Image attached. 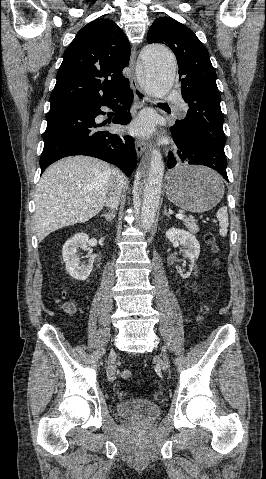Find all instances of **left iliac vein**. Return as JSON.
<instances>
[{
  "label": "left iliac vein",
  "instance_id": "left-iliac-vein-1",
  "mask_svg": "<svg viewBox=\"0 0 266 479\" xmlns=\"http://www.w3.org/2000/svg\"><path fill=\"white\" fill-rule=\"evenodd\" d=\"M162 363L164 365V368L167 369L168 367V359H167V356L165 354H163L162 356Z\"/></svg>",
  "mask_w": 266,
  "mask_h": 479
}]
</instances>
